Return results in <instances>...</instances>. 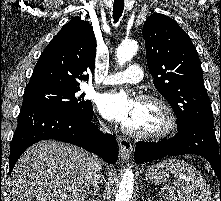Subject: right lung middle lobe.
<instances>
[{
  "mask_svg": "<svg viewBox=\"0 0 221 201\" xmlns=\"http://www.w3.org/2000/svg\"><path fill=\"white\" fill-rule=\"evenodd\" d=\"M79 88L60 87H30L26 88L22 108L28 106H42L88 115L93 111L90 100H83L84 94L78 95Z\"/></svg>",
  "mask_w": 221,
  "mask_h": 201,
  "instance_id": "right-lung-middle-lobe-1",
  "label": "right lung middle lobe"
}]
</instances>
